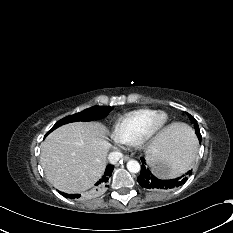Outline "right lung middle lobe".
Here are the masks:
<instances>
[{
  "label": "right lung middle lobe",
  "instance_id": "right-lung-middle-lobe-1",
  "mask_svg": "<svg viewBox=\"0 0 233 233\" xmlns=\"http://www.w3.org/2000/svg\"><path fill=\"white\" fill-rule=\"evenodd\" d=\"M110 110H111L110 106L91 107V108L86 109L80 113H77V114H74L71 116H67V117L61 119L52 127V129L48 133H50L51 131H53L57 127L62 126V125L67 124V123L77 122V121H91V120H95V119H100L102 117H105L110 112Z\"/></svg>",
  "mask_w": 233,
  "mask_h": 233
}]
</instances>
